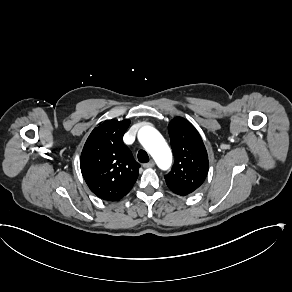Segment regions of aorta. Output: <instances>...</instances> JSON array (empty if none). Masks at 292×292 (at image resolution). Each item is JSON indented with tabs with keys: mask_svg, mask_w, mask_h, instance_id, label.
<instances>
[{
	"mask_svg": "<svg viewBox=\"0 0 292 292\" xmlns=\"http://www.w3.org/2000/svg\"><path fill=\"white\" fill-rule=\"evenodd\" d=\"M139 140L159 167L166 169L171 164V151L165 139L152 127H143L139 131Z\"/></svg>",
	"mask_w": 292,
	"mask_h": 292,
	"instance_id": "762f6f07",
	"label": "aorta"
}]
</instances>
